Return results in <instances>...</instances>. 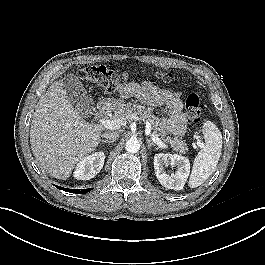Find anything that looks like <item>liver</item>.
I'll list each match as a JSON object with an SVG mask.
<instances>
[{
    "mask_svg": "<svg viewBox=\"0 0 265 265\" xmlns=\"http://www.w3.org/2000/svg\"><path fill=\"white\" fill-rule=\"evenodd\" d=\"M102 130L82 119L62 81H54L37 103L30 129L31 149L47 173L66 180L98 146Z\"/></svg>",
    "mask_w": 265,
    "mask_h": 265,
    "instance_id": "obj_1",
    "label": "liver"
}]
</instances>
